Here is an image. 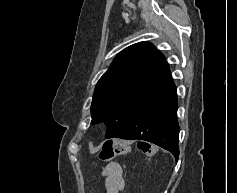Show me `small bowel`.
<instances>
[{"label": "small bowel", "mask_w": 237, "mask_h": 193, "mask_svg": "<svg viewBox=\"0 0 237 193\" xmlns=\"http://www.w3.org/2000/svg\"><path fill=\"white\" fill-rule=\"evenodd\" d=\"M106 193H121L125 188L122 166L117 162L107 164L102 172Z\"/></svg>", "instance_id": "1"}]
</instances>
